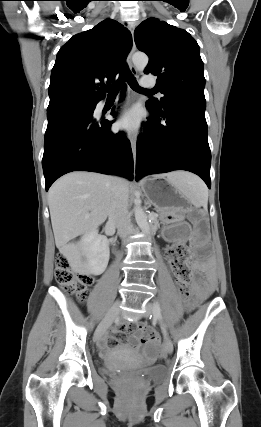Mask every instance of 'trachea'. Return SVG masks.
<instances>
[{
  "label": "trachea",
  "instance_id": "1",
  "mask_svg": "<svg viewBox=\"0 0 261 427\" xmlns=\"http://www.w3.org/2000/svg\"><path fill=\"white\" fill-rule=\"evenodd\" d=\"M127 81L129 86L134 90L138 92H144L146 90L139 87L138 82L136 78L133 76V74L130 72L127 65H125L122 68V71L120 73V76L118 80L113 83L112 85H109L105 88V90L108 92L109 95H116L119 93V90L121 89V86L123 83ZM148 92H153L152 90H149Z\"/></svg>",
  "mask_w": 261,
  "mask_h": 427
}]
</instances>
